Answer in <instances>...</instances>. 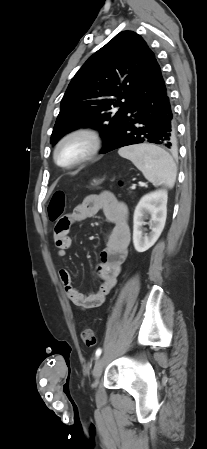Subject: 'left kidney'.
Masks as SVG:
<instances>
[{"mask_svg":"<svg viewBox=\"0 0 207 449\" xmlns=\"http://www.w3.org/2000/svg\"><path fill=\"white\" fill-rule=\"evenodd\" d=\"M167 191L158 190L144 195L137 204L133 216V244L137 252H145L160 237L167 217ZM151 217V232L143 235L142 226L145 219Z\"/></svg>","mask_w":207,"mask_h":449,"instance_id":"5707ae66","label":"left kidney"}]
</instances>
